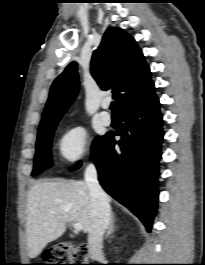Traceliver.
<instances>
[{
    "label": "liver",
    "mask_w": 205,
    "mask_h": 265,
    "mask_svg": "<svg viewBox=\"0 0 205 265\" xmlns=\"http://www.w3.org/2000/svg\"><path fill=\"white\" fill-rule=\"evenodd\" d=\"M68 222L80 223L84 233H89L91 230L92 205L86 182L73 180L36 182L27 196L28 256L36 258L48 243L62 236Z\"/></svg>",
    "instance_id": "6515ba94"
}]
</instances>
